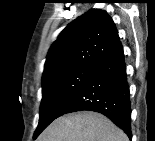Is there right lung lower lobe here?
I'll return each mask as SVG.
<instances>
[{"mask_svg": "<svg viewBox=\"0 0 155 141\" xmlns=\"http://www.w3.org/2000/svg\"><path fill=\"white\" fill-rule=\"evenodd\" d=\"M84 110L102 113L132 139L130 92L120 41L94 68L90 77L63 107L59 117Z\"/></svg>", "mask_w": 155, "mask_h": 141, "instance_id": "obj_1", "label": "right lung lower lobe"}]
</instances>
